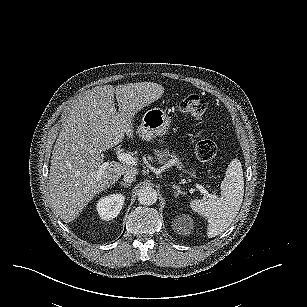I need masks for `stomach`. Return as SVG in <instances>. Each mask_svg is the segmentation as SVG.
<instances>
[{
	"mask_svg": "<svg viewBox=\"0 0 307 307\" xmlns=\"http://www.w3.org/2000/svg\"><path fill=\"white\" fill-rule=\"evenodd\" d=\"M170 123L171 118L163 109L152 108L144 113L141 124L136 128V134L143 141H151L165 135ZM184 171L189 172L185 169Z\"/></svg>",
	"mask_w": 307,
	"mask_h": 307,
	"instance_id": "1",
	"label": "stomach"
}]
</instances>
